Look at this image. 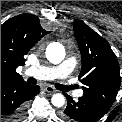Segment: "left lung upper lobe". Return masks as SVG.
<instances>
[{
    "mask_svg": "<svg viewBox=\"0 0 122 122\" xmlns=\"http://www.w3.org/2000/svg\"><path fill=\"white\" fill-rule=\"evenodd\" d=\"M74 34L82 57L79 79L84 84L83 96L112 106L121 82L116 55L103 37L77 19Z\"/></svg>",
    "mask_w": 122,
    "mask_h": 122,
    "instance_id": "left-lung-upper-lobe-1",
    "label": "left lung upper lobe"
}]
</instances>
